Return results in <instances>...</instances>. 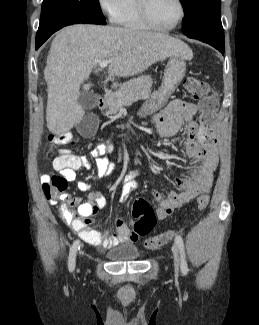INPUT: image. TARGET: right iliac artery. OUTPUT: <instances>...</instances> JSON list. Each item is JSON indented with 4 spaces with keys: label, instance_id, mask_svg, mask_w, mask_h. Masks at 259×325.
<instances>
[{
    "label": "right iliac artery",
    "instance_id": "82829eb1",
    "mask_svg": "<svg viewBox=\"0 0 259 325\" xmlns=\"http://www.w3.org/2000/svg\"><path fill=\"white\" fill-rule=\"evenodd\" d=\"M80 241L77 239L74 241L72 247L70 248L69 258H68V268L72 272L75 269V260L77 250L79 248Z\"/></svg>",
    "mask_w": 259,
    "mask_h": 325
}]
</instances>
